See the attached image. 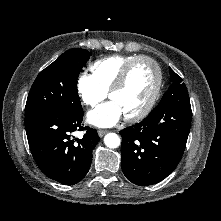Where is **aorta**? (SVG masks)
I'll list each match as a JSON object with an SVG mask.
<instances>
[{
  "label": "aorta",
  "instance_id": "1",
  "mask_svg": "<svg viewBox=\"0 0 221 221\" xmlns=\"http://www.w3.org/2000/svg\"><path fill=\"white\" fill-rule=\"evenodd\" d=\"M120 137L115 133H108L104 137V143L109 148H117L120 145Z\"/></svg>",
  "mask_w": 221,
  "mask_h": 221
}]
</instances>
